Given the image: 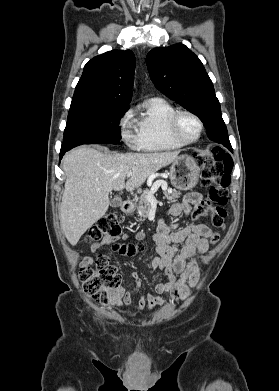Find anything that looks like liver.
Here are the masks:
<instances>
[{
	"mask_svg": "<svg viewBox=\"0 0 279 391\" xmlns=\"http://www.w3.org/2000/svg\"><path fill=\"white\" fill-rule=\"evenodd\" d=\"M178 152L109 154L79 147L63 158L66 175L60 224L71 245L100 218L110 205L112 190H134L178 158ZM131 178L125 184L127 174Z\"/></svg>",
	"mask_w": 279,
	"mask_h": 391,
	"instance_id": "obj_1",
	"label": "liver"
}]
</instances>
